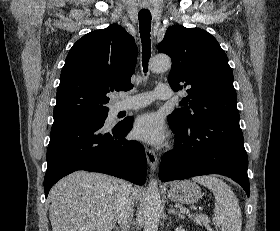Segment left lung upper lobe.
<instances>
[{"label":"left lung upper lobe","instance_id":"left-lung-upper-lobe-1","mask_svg":"<svg viewBox=\"0 0 280 231\" xmlns=\"http://www.w3.org/2000/svg\"><path fill=\"white\" fill-rule=\"evenodd\" d=\"M158 50L172 59L170 86L188 93L180 103L188 107L175 110L170 117L182 126L204 120H239L233 71L211 34L199 28L171 26Z\"/></svg>","mask_w":280,"mask_h":231}]
</instances>
